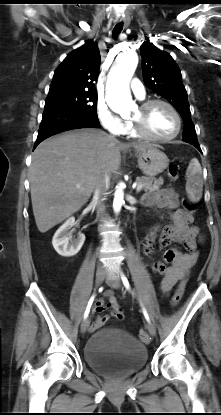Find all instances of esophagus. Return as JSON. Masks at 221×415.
<instances>
[{"label":"esophagus","instance_id":"1","mask_svg":"<svg viewBox=\"0 0 221 415\" xmlns=\"http://www.w3.org/2000/svg\"><path fill=\"white\" fill-rule=\"evenodd\" d=\"M120 21H122V22H124V24L127 26V25H129V22H130V20H129V18L127 17V16H123V17H121L120 18Z\"/></svg>","mask_w":221,"mask_h":415}]
</instances>
